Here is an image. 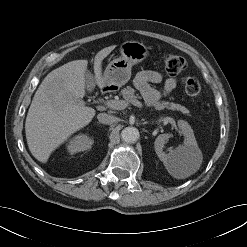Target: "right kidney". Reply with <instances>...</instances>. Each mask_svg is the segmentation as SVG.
Wrapping results in <instances>:
<instances>
[{
	"label": "right kidney",
	"instance_id": "right-kidney-1",
	"mask_svg": "<svg viewBox=\"0 0 247 247\" xmlns=\"http://www.w3.org/2000/svg\"><path fill=\"white\" fill-rule=\"evenodd\" d=\"M93 139L86 134H78L71 138L67 143V149L70 154L85 151L91 148Z\"/></svg>",
	"mask_w": 247,
	"mask_h": 247
}]
</instances>
